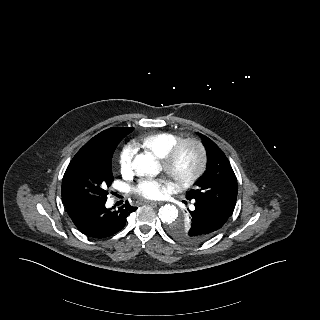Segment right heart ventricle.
Masks as SVG:
<instances>
[{
	"instance_id": "right-heart-ventricle-1",
	"label": "right heart ventricle",
	"mask_w": 320,
	"mask_h": 320,
	"mask_svg": "<svg viewBox=\"0 0 320 320\" xmlns=\"http://www.w3.org/2000/svg\"><path fill=\"white\" fill-rule=\"evenodd\" d=\"M179 140V136L174 133L158 131L142 137L139 146L162 159Z\"/></svg>"
}]
</instances>
